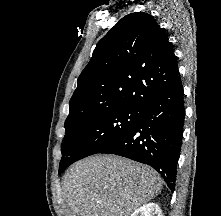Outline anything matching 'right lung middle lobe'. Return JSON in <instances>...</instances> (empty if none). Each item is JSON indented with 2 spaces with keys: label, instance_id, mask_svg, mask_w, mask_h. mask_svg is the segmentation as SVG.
<instances>
[{
  "label": "right lung middle lobe",
  "instance_id": "dd1d6c3e",
  "mask_svg": "<svg viewBox=\"0 0 221 216\" xmlns=\"http://www.w3.org/2000/svg\"><path fill=\"white\" fill-rule=\"evenodd\" d=\"M139 107H121L90 115L65 126L59 172L73 162L101 153L124 136L135 125Z\"/></svg>",
  "mask_w": 221,
  "mask_h": 216
}]
</instances>
